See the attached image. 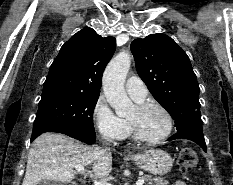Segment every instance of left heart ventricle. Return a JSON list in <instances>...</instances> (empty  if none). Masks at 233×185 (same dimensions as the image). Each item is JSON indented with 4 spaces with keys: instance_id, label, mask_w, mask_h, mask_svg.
Returning <instances> with one entry per match:
<instances>
[{
    "instance_id": "b2bd125f",
    "label": "left heart ventricle",
    "mask_w": 233,
    "mask_h": 185,
    "mask_svg": "<svg viewBox=\"0 0 233 185\" xmlns=\"http://www.w3.org/2000/svg\"><path fill=\"white\" fill-rule=\"evenodd\" d=\"M128 118L136 123L143 136L150 139L162 136L168 127L166 116L157 108L138 111L135 107Z\"/></svg>"
}]
</instances>
